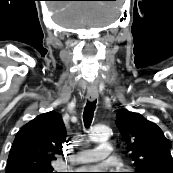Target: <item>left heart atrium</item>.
<instances>
[{"mask_svg":"<svg viewBox=\"0 0 173 173\" xmlns=\"http://www.w3.org/2000/svg\"><path fill=\"white\" fill-rule=\"evenodd\" d=\"M86 169H87V172H91V173H99V172H104L108 170V168L105 166L87 167Z\"/></svg>","mask_w":173,"mask_h":173,"instance_id":"left-heart-atrium-1","label":"left heart atrium"}]
</instances>
